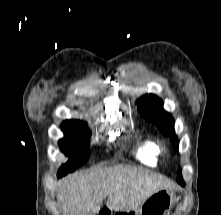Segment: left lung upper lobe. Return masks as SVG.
<instances>
[{
    "label": "left lung upper lobe",
    "mask_w": 221,
    "mask_h": 215,
    "mask_svg": "<svg viewBox=\"0 0 221 215\" xmlns=\"http://www.w3.org/2000/svg\"><path fill=\"white\" fill-rule=\"evenodd\" d=\"M138 111L149 122L154 123L165 135L171 137L173 146L177 149L179 142L174 133V120L172 116L163 110V102L154 94L144 95L137 100ZM183 181L181 169L177 173V181Z\"/></svg>",
    "instance_id": "1"
}]
</instances>
